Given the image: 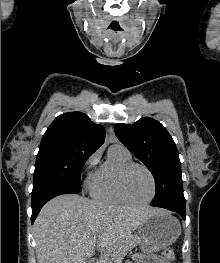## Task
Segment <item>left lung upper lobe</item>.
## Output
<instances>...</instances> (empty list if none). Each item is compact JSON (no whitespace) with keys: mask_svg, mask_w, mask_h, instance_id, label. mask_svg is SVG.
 Segmentation results:
<instances>
[{"mask_svg":"<svg viewBox=\"0 0 220 263\" xmlns=\"http://www.w3.org/2000/svg\"><path fill=\"white\" fill-rule=\"evenodd\" d=\"M118 139L152 173L156 194L152 206L185 209L181 163L176 145L165 127L144 117L133 124H116Z\"/></svg>","mask_w":220,"mask_h":263,"instance_id":"5c2ea615","label":"left lung upper lobe"}]
</instances>
